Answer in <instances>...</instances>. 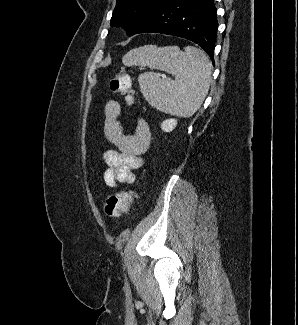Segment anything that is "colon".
<instances>
[{
    "label": "colon",
    "instance_id": "colon-1",
    "mask_svg": "<svg viewBox=\"0 0 298 325\" xmlns=\"http://www.w3.org/2000/svg\"><path fill=\"white\" fill-rule=\"evenodd\" d=\"M110 89L114 93L125 96L128 104L133 103L130 75L126 70H120L110 81ZM135 198L131 190H124L107 197L104 203V211L108 217L117 218L129 212Z\"/></svg>",
    "mask_w": 298,
    "mask_h": 325
}]
</instances>
